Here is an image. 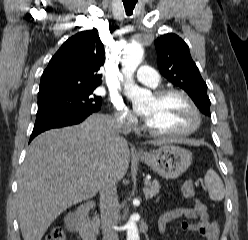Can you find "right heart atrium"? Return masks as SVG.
Instances as JSON below:
<instances>
[{
  "label": "right heart atrium",
  "instance_id": "obj_1",
  "mask_svg": "<svg viewBox=\"0 0 248 240\" xmlns=\"http://www.w3.org/2000/svg\"><path fill=\"white\" fill-rule=\"evenodd\" d=\"M114 118L125 127L132 128L136 125V118L124 102L119 98L112 99Z\"/></svg>",
  "mask_w": 248,
  "mask_h": 240
}]
</instances>
